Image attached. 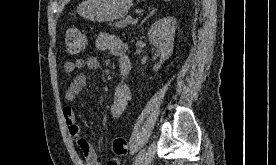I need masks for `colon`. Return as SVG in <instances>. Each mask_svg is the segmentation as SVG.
Wrapping results in <instances>:
<instances>
[{
    "mask_svg": "<svg viewBox=\"0 0 276 165\" xmlns=\"http://www.w3.org/2000/svg\"><path fill=\"white\" fill-rule=\"evenodd\" d=\"M65 46L70 54H78L86 48V38L77 28H68L65 32ZM111 151L116 156L126 155L128 144L125 138L116 137L111 143Z\"/></svg>",
    "mask_w": 276,
    "mask_h": 165,
    "instance_id": "1",
    "label": "colon"
}]
</instances>
